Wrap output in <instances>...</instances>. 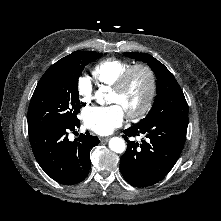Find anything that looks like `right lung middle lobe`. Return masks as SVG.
Masks as SVG:
<instances>
[{"label": "right lung middle lobe", "instance_id": "dd1d6c3e", "mask_svg": "<svg viewBox=\"0 0 221 221\" xmlns=\"http://www.w3.org/2000/svg\"><path fill=\"white\" fill-rule=\"evenodd\" d=\"M75 51L53 64L39 80L28 109V128L56 122H77L80 112L78 78L84 67L101 57Z\"/></svg>", "mask_w": 221, "mask_h": 221}]
</instances>
